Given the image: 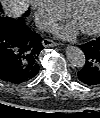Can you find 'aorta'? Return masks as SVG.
I'll return each instance as SVG.
<instances>
[{
  "instance_id": "762f6f07",
  "label": "aorta",
  "mask_w": 100,
  "mask_h": 118,
  "mask_svg": "<svg viewBox=\"0 0 100 118\" xmlns=\"http://www.w3.org/2000/svg\"><path fill=\"white\" fill-rule=\"evenodd\" d=\"M66 56L68 61L71 63L73 67L82 68L85 65V54L84 52L76 47V46H69L66 49Z\"/></svg>"
}]
</instances>
